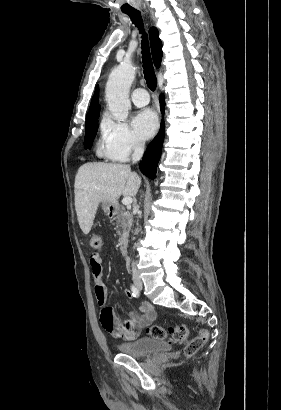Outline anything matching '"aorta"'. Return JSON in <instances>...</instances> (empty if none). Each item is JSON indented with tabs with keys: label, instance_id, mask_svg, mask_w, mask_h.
Returning a JSON list of instances; mask_svg holds the SVG:
<instances>
[{
	"label": "aorta",
	"instance_id": "aorta-1",
	"mask_svg": "<svg viewBox=\"0 0 281 410\" xmlns=\"http://www.w3.org/2000/svg\"><path fill=\"white\" fill-rule=\"evenodd\" d=\"M135 78V68L129 63H121L109 75L105 94L108 108L113 117L124 121L131 107L129 89Z\"/></svg>",
	"mask_w": 281,
	"mask_h": 410
}]
</instances>
